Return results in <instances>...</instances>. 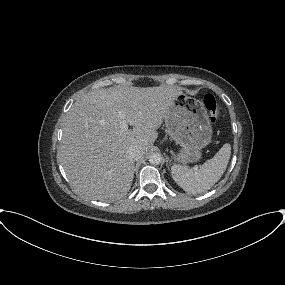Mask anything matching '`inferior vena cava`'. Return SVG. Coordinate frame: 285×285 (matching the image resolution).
<instances>
[{"instance_id":"inferior-vena-cava-1","label":"inferior vena cava","mask_w":285,"mask_h":285,"mask_svg":"<svg viewBox=\"0 0 285 285\" xmlns=\"http://www.w3.org/2000/svg\"><path fill=\"white\" fill-rule=\"evenodd\" d=\"M127 152L129 157L134 161L139 160L143 156L142 150L137 146L130 147Z\"/></svg>"}]
</instances>
